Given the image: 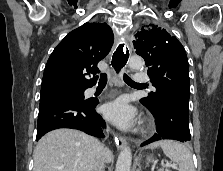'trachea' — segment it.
I'll list each match as a JSON object with an SVG mask.
<instances>
[{
	"label": "trachea",
	"instance_id": "trachea-1",
	"mask_svg": "<svg viewBox=\"0 0 223 171\" xmlns=\"http://www.w3.org/2000/svg\"><path fill=\"white\" fill-rule=\"evenodd\" d=\"M113 60V58H112ZM124 81L127 84H133V85H138V83L134 82L128 75L124 74L123 76ZM107 83V75L105 73H102L100 76L99 84H106Z\"/></svg>",
	"mask_w": 223,
	"mask_h": 171
}]
</instances>
